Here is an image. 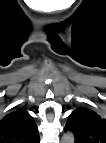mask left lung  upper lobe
<instances>
[{"label":"left lung upper lobe","mask_w":106,"mask_h":143,"mask_svg":"<svg viewBox=\"0 0 106 143\" xmlns=\"http://www.w3.org/2000/svg\"><path fill=\"white\" fill-rule=\"evenodd\" d=\"M71 131L75 143H106V119L91 109L80 107L68 117L65 131Z\"/></svg>","instance_id":"5c2ea615"}]
</instances>
